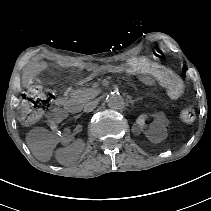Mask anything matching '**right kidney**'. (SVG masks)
<instances>
[{
    "mask_svg": "<svg viewBox=\"0 0 211 211\" xmlns=\"http://www.w3.org/2000/svg\"><path fill=\"white\" fill-rule=\"evenodd\" d=\"M67 123V118L59 112H53L47 121L49 130L58 138L62 139L65 143H70L73 140V135L66 132L62 126Z\"/></svg>",
    "mask_w": 211,
    "mask_h": 211,
    "instance_id": "right-kidney-1",
    "label": "right kidney"
}]
</instances>
